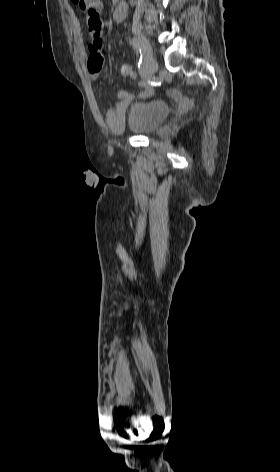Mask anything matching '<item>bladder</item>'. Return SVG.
Here are the masks:
<instances>
[{"label": "bladder", "mask_w": 280, "mask_h": 472, "mask_svg": "<svg viewBox=\"0 0 280 472\" xmlns=\"http://www.w3.org/2000/svg\"><path fill=\"white\" fill-rule=\"evenodd\" d=\"M169 105L162 100H136L126 110L128 129L137 135H148L157 131L167 119Z\"/></svg>", "instance_id": "31cf9c89"}]
</instances>
